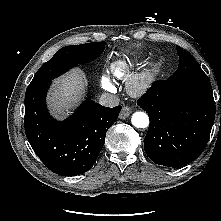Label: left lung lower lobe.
I'll list each match as a JSON object with an SVG mask.
<instances>
[{
  "label": "left lung lower lobe",
  "mask_w": 221,
  "mask_h": 221,
  "mask_svg": "<svg viewBox=\"0 0 221 221\" xmlns=\"http://www.w3.org/2000/svg\"><path fill=\"white\" fill-rule=\"evenodd\" d=\"M137 104L150 118L144 149L154 163L181 167L202 153L215 119L209 80H157Z\"/></svg>",
  "instance_id": "obj_1"
}]
</instances>
